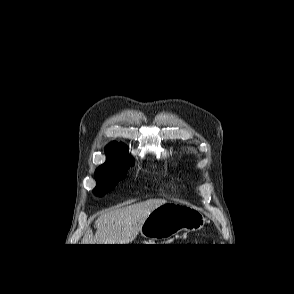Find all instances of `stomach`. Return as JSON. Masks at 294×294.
Here are the masks:
<instances>
[{
    "instance_id": "1",
    "label": "stomach",
    "mask_w": 294,
    "mask_h": 294,
    "mask_svg": "<svg viewBox=\"0 0 294 294\" xmlns=\"http://www.w3.org/2000/svg\"><path fill=\"white\" fill-rule=\"evenodd\" d=\"M206 218L195 208L166 202L154 209L140 229V235L149 241L167 240L180 231H198L205 225Z\"/></svg>"
}]
</instances>
